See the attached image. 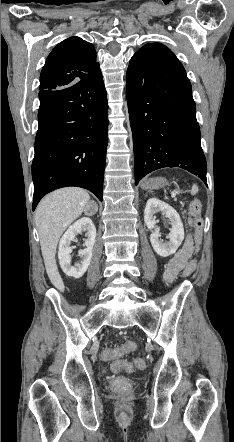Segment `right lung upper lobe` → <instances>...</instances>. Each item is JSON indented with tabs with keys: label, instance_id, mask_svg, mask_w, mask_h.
<instances>
[{
	"label": "right lung upper lobe",
	"instance_id": "cb5924a9",
	"mask_svg": "<svg viewBox=\"0 0 234 442\" xmlns=\"http://www.w3.org/2000/svg\"><path fill=\"white\" fill-rule=\"evenodd\" d=\"M98 68L94 46L79 37H70L47 57L40 75V90L71 86Z\"/></svg>",
	"mask_w": 234,
	"mask_h": 442
}]
</instances>
